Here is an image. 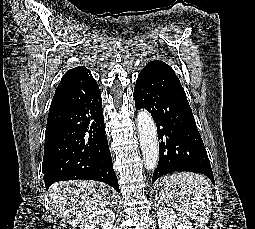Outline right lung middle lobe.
I'll return each instance as SVG.
<instances>
[{"instance_id": "right-lung-middle-lobe-1", "label": "right lung middle lobe", "mask_w": 255, "mask_h": 229, "mask_svg": "<svg viewBox=\"0 0 255 229\" xmlns=\"http://www.w3.org/2000/svg\"><path fill=\"white\" fill-rule=\"evenodd\" d=\"M55 136V133L54 132H46V135H45V147H44V150L47 148V146L50 144V142L53 140Z\"/></svg>"}]
</instances>
